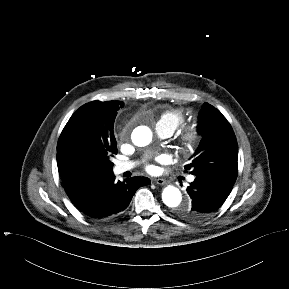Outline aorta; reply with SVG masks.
I'll return each instance as SVG.
<instances>
[{"mask_svg": "<svg viewBox=\"0 0 289 289\" xmlns=\"http://www.w3.org/2000/svg\"><path fill=\"white\" fill-rule=\"evenodd\" d=\"M152 140V132L146 126H140L135 129L132 134V141L135 145L143 147L148 145ZM162 201L169 208L177 211L187 212L191 205L188 201L183 203V198L180 190L174 186H167L162 192Z\"/></svg>", "mask_w": 289, "mask_h": 289, "instance_id": "obj_1", "label": "aorta"}]
</instances>
